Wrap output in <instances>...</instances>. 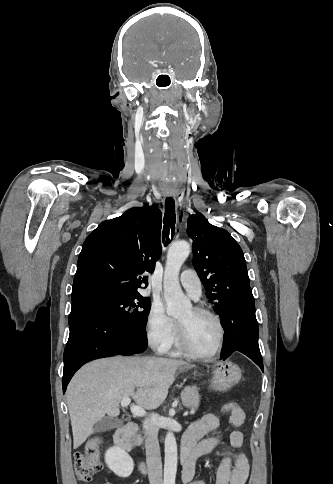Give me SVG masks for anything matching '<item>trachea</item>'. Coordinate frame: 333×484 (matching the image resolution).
<instances>
[{
  "label": "trachea",
  "mask_w": 333,
  "mask_h": 484,
  "mask_svg": "<svg viewBox=\"0 0 333 484\" xmlns=\"http://www.w3.org/2000/svg\"><path fill=\"white\" fill-rule=\"evenodd\" d=\"M166 143H165V148H164V151L166 152V156L167 157H172L173 156V151L170 150L169 146H170V141H171V134L170 133H167L166 134ZM163 244L164 246H167L170 241H171V238L173 239L174 235H175V231H176V228H175V223H176V214H175V202H174V199L171 198V197H168L166 198L165 200V215H164V219H163ZM178 231V230H177Z\"/></svg>",
  "instance_id": "obj_1"
}]
</instances>
